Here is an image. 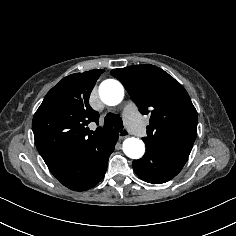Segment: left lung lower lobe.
<instances>
[{"label":"left lung lower lobe","mask_w":236,"mask_h":236,"mask_svg":"<svg viewBox=\"0 0 236 236\" xmlns=\"http://www.w3.org/2000/svg\"><path fill=\"white\" fill-rule=\"evenodd\" d=\"M188 157L162 147H147L145 155L133 161V169L142 180L161 184L174 178L183 168Z\"/></svg>","instance_id":"obj_1"}]
</instances>
